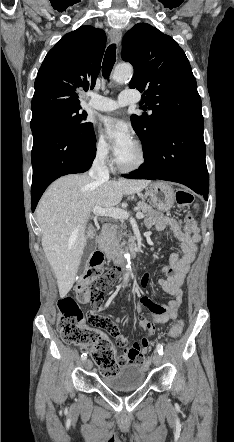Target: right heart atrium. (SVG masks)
Returning a JSON list of instances; mask_svg holds the SVG:
<instances>
[{"label": "right heart atrium", "mask_w": 234, "mask_h": 442, "mask_svg": "<svg viewBox=\"0 0 234 442\" xmlns=\"http://www.w3.org/2000/svg\"><path fill=\"white\" fill-rule=\"evenodd\" d=\"M94 156L98 161L102 163H108L111 159L110 146L101 137L96 138L94 142Z\"/></svg>", "instance_id": "obj_1"}]
</instances>
